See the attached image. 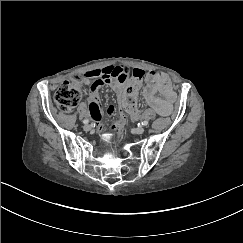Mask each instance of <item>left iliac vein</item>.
<instances>
[{
  "mask_svg": "<svg viewBox=\"0 0 243 243\" xmlns=\"http://www.w3.org/2000/svg\"><path fill=\"white\" fill-rule=\"evenodd\" d=\"M134 132L136 134H143L145 132V128L144 127H138L136 129H134Z\"/></svg>",
  "mask_w": 243,
  "mask_h": 243,
  "instance_id": "1",
  "label": "left iliac vein"
}]
</instances>
